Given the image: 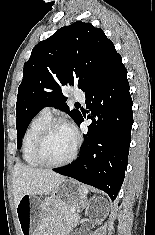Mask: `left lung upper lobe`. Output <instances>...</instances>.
I'll return each mask as SVG.
<instances>
[{"mask_svg": "<svg viewBox=\"0 0 155 235\" xmlns=\"http://www.w3.org/2000/svg\"><path fill=\"white\" fill-rule=\"evenodd\" d=\"M120 57L102 29L76 21L38 43L24 64L16 103L17 148L33 117L50 106L67 112L77 123L81 113L69 110L62 87L77 85L85 94Z\"/></svg>", "mask_w": 155, "mask_h": 235, "instance_id": "5c2ea615", "label": "left lung upper lobe"}]
</instances>
